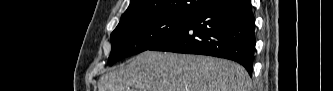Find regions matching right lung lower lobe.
<instances>
[{
    "mask_svg": "<svg viewBox=\"0 0 333 91\" xmlns=\"http://www.w3.org/2000/svg\"><path fill=\"white\" fill-rule=\"evenodd\" d=\"M255 19L249 0H214L150 50L234 60L252 74Z\"/></svg>",
    "mask_w": 333,
    "mask_h": 91,
    "instance_id": "right-lung-lower-lobe-1",
    "label": "right lung lower lobe"
}]
</instances>
